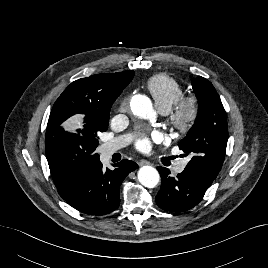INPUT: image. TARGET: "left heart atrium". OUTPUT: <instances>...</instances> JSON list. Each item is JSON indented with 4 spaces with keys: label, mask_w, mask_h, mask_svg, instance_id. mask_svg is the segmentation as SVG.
Returning <instances> with one entry per match:
<instances>
[{
    "label": "left heart atrium",
    "mask_w": 268,
    "mask_h": 268,
    "mask_svg": "<svg viewBox=\"0 0 268 268\" xmlns=\"http://www.w3.org/2000/svg\"><path fill=\"white\" fill-rule=\"evenodd\" d=\"M162 134L158 131H155L151 134V138L146 136L137 141L136 146L142 152H149L152 147V139L161 140Z\"/></svg>",
    "instance_id": "39dd6f15"
}]
</instances>
